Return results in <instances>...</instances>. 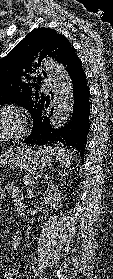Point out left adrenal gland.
Segmentation results:
<instances>
[{
	"instance_id": "1",
	"label": "left adrenal gland",
	"mask_w": 113,
	"mask_h": 279,
	"mask_svg": "<svg viewBox=\"0 0 113 279\" xmlns=\"http://www.w3.org/2000/svg\"><path fill=\"white\" fill-rule=\"evenodd\" d=\"M47 178V175L46 176H44L43 177V179L40 181V182H43L44 181V179H46ZM38 183H36L35 184V186L32 188V190H31V192L30 193H32V191L36 188V185H37Z\"/></svg>"
}]
</instances>
